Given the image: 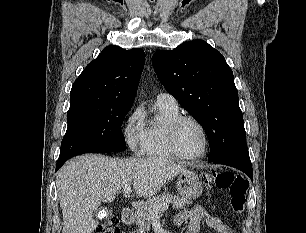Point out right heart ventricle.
Segmentation results:
<instances>
[{
	"mask_svg": "<svg viewBox=\"0 0 306 233\" xmlns=\"http://www.w3.org/2000/svg\"><path fill=\"white\" fill-rule=\"evenodd\" d=\"M178 116H180L178 106L155 104V116L145 125L144 155L157 160L176 158L168 146L167 129L169 124Z\"/></svg>",
	"mask_w": 306,
	"mask_h": 233,
	"instance_id": "e07e8e85",
	"label": "right heart ventricle"
}]
</instances>
